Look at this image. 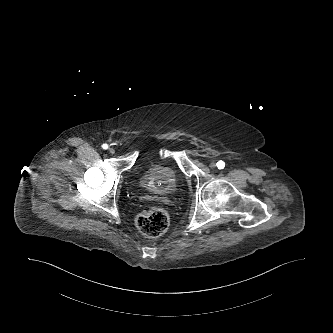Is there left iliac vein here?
Here are the masks:
<instances>
[{"instance_id":"left-iliac-vein-1","label":"left iliac vein","mask_w":333,"mask_h":333,"mask_svg":"<svg viewBox=\"0 0 333 333\" xmlns=\"http://www.w3.org/2000/svg\"><path fill=\"white\" fill-rule=\"evenodd\" d=\"M209 166L210 168L214 169L216 168L217 164L215 162H211Z\"/></svg>"}]
</instances>
